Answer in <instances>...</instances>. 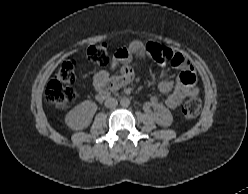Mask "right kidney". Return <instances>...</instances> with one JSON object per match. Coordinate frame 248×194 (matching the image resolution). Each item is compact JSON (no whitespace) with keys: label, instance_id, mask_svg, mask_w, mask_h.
I'll return each mask as SVG.
<instances>
[{"label":"right kidney","instance_id":"ca27d5eb","mask_svg":"<svg viewBox=\"0 0 248 194\" xmlns=\"http://www.w3.org/2000/svg\"><path fill=\"white\" fill-rule=\"evenodd\" d=\"M97 105L90 101L86 100L75 106L70 110L65 116L66 125L72 130H82L87 128L97 111Z\"/></svg>","mask_w":248,"mask_h":194}]
</instances>
